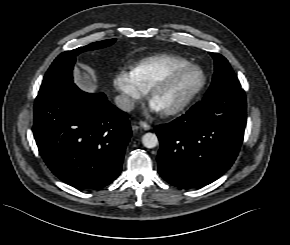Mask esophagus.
I'll use <instances>...</instances> for the list:
<instances>
[{
  "label": "esophagus",
  "instance_id": "34e87169",
  "mask_svg": "<svg viewBox=\"0 0 290 245\" xmlns=\"http://www.w3.org/2000/svg\"><path fill=\"white\" fill-rule=\"evenodd\" d=\"M139 126L142 127L144 130H149L150 129V125L148 123H146L145 121H139L138 122Z\"/></svg>",
  "mask_w": 290,
  "mask_h": 245
}]
</instances>
